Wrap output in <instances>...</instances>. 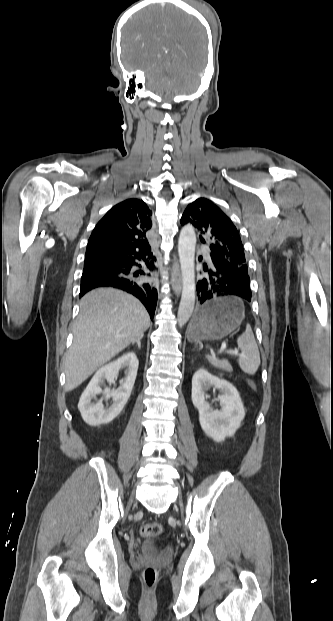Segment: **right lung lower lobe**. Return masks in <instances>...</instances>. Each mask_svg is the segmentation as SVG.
I'll return each mask as SVG.
<instances>
[{
  "label": "right lung lower lobe",
  "instance_id": "98d812e1",
  "mask_svg": "<svg viewBox=\"0 0 333 621\" xmlns=\"http://www.w3.org/2000/svg\"><path fill=\"white\" fill-rule=\"evenodd\" d=\"M137 260L143 261L149 270L154 269L156 258L151 248L143 253L107 254L85 258L79 297L97 287L111 286L122 289L136 296L153 319L158 299L157 290L151 284L142 281V276L146 275L143 270L132 268L142 267L136 262Z\"/></svg>",
  "mask_w": 333,
  "mask_h": 621
}]
</instances>
